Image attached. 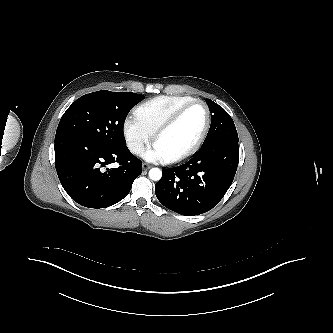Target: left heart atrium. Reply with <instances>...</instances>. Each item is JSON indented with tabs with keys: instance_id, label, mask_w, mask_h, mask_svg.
Here are the masks:
<instances>
[{
	"instance_id": "39dd6f15",
	"label": "left heart atrium",
	"mask_w": 333,
	"mask_h": 333,
	"mask_svg": "<svg viewBox=\"0 0 333 333\" xmlns=\"http://www.w3.org/2000/svg\"><path fill=\"white\" fill-rule=\"evenodd\" d=\"M144 158L149 161H157V160L165 159V156L156 146H154L153 149H150L145 152Z\"/></svg>"
}]
</instances>
